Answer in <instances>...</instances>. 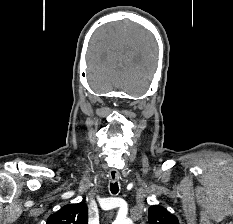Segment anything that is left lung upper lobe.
<instances>
[{
  "label": "left lung upper lobe",
  "instance_id": "5c2ea615",
  "mask_svg": "<svg viewBox=\"0 0 233 224\" xmlns=\"http://www.w3.org/2000/svg\"><path fill=\"white\" fill-rule=\"evenodd\" d=\"M149 224H179V221L164 207L153 205L149 208Z\"/></svg>",
  "mask_w": 233,
  "mask_h": 224
}]
</instances>
